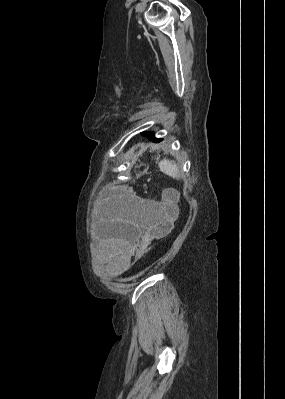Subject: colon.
<instances>
[{
	"instance_id": "1",
	"label": "colon",
	"mask_w": 285,
	"mask_h": 399,
	"mask_svg": "<svg viewBox=\"0 0 285 399\" xmlns=\"http://www.w3.org/2000/svg\"><path fill=\"white\" fill-rule=\"evenodd\" d=\"M166 202L157 207L163 218L152 233L136 244L138 254H145L153 245L156 239L166 236L173 228V224L177 217V207L175 204V196L171 193L165 194Z\"/></svg>"
}]
</instances>
